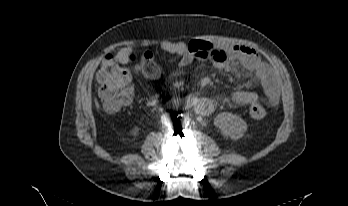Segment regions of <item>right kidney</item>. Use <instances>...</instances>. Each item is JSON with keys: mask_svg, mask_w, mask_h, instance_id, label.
Instances as JSON below:
<instances>
[{"mask_svg": "<svg viewBox=\"0 0 348 206\" xmlns=\"http://www.w3.org/2000/svg\"><path fill=\"white\" fill-rule=\"evenodd\" d=\"M139 127H134L133 129H132V131H131V134L132 135H137L138 134V132H139Z\"/></svg>", "mask_w": 348, "mask_h": 206, "instance_id": "ca27d5eb", "label": "right kidney"}]
</instances>
